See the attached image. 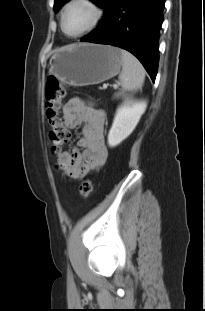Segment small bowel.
Segmentation results:
<instances>
[{"label": "small bowel", "instance_id": "obj_1", "mask_svg": "<svg viewBox=\"0 0 205 311\" xmlns=\"http://www.w3.org/2000/svg\"><path fill=\"white\" fill-rule=\"evenodd\" d=\"M63 122L67 129L81 127V136L72 150L57 155L56 168L72 179H80L107 160L105 112L74 97L64 105Z\"/></svg>", "mask_w": 205, "mask_h": 311}]
</instances>
